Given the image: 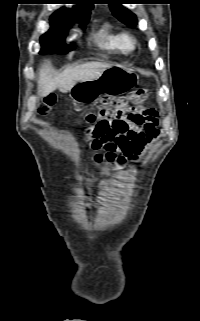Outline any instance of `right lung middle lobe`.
I'll use <instances>...</instances> for the list:
<instances>
[{
	"label": "right lung middle lobe",
	"mask_w": 200,
	"mask_h": 321,
	"mask_svg": "<svg viewBox=\"0 0 200 321\" xmlns=\"http://www.w3.org/2000/svg\"><path fill=\"white\" fill-rule=\"evenodd\" d=\"M90 14V13H89ZM89 14L74 15L68 17H50L51 28L48 32L40 37L41 51L40 54L57 53L66 54L73 49V46L65 44V38L68 30L74 22H78L80 27L85 28L89 20Z\"/></svg>",
	"instance_id": "1"
}]
</instances>
